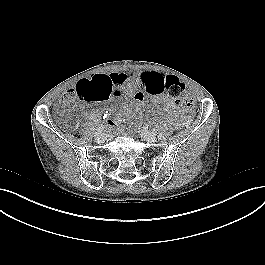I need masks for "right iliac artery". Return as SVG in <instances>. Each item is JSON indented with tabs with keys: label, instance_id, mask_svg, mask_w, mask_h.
<instances>
[{
	"label": "right iliac artery",
	"instance_id": "right-iliac-artery-1",
	"mask_svg": "<svg viewBox=\"0 0 265 265\" xmlns=\"http://www.w3.org/2000/svg\"><path fill=\"white\" fill-rule=\"evenodd\" d=\"M104 125H101V126H99L96 130H95V132H94V136L96 137V136H99L100 134H101V132L104 130Z\"/></svg>",
	"mask_w": 265,
	"mask_h": 265
}]
</instances>
